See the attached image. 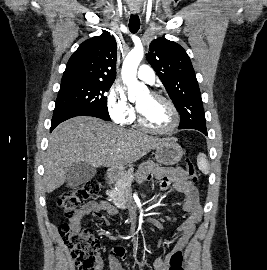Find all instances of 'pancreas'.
<instances>
[{
  "instance_id": "1",
  "label": "pancreas",
  "mask_w": 267,
  "mask_h": 270,
  "mask_svg": "<svg viewBox=\"0 0 267 270\" xmlns=\"http://www.w3.org/2000/svg\"><path fill=\"white\" fill-rule=\"evenodd\" d=\"M134 180L133 168L118 177L115 187L107 190L106 194L114 204L131 202V183Z\"/></svg>"
}]
</instances>
